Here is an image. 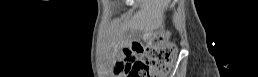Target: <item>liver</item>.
Returning <instances> with one entry per match:
<instances>
[{"label":"liver","mask_w":258,"mask_h":77,"mask_svg":"<svg viewBox=\"0 0 258 77\" xmlns=\"http://www.w3.org/2000/svg\"><path fill=\"white\" fill-rule=\"evenodd\" d=\"M139 11L133 17V24L146 29L161 25L163 12L168 7L170 0H138Z\"/></svg>","instance_id":"6515ba94"}]
</instances>
